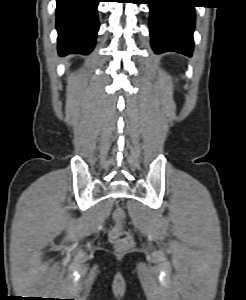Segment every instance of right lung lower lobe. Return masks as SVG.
I'll return each mask as SVG.
<instances>
[{
	"label": "right lung lower lobe",
	"mask_w": 246,
	"mask_h": 300,
	"mask_svg": "<svg viewBox=\"0 0 246 300\" xmlns=\"http://www.w3.org/2000/svg\"><path fill=\"white\" fill-rule=\"evenodd\" d=\"M100 0H57L58 52L88 55L95 46L99 28Z\"/></svg>",
	"instance_id": "98d812e1"
}]
</instances>
